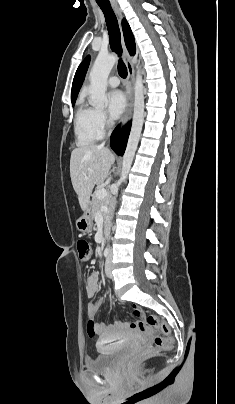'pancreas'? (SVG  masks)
<instances>
[{"label":"pancreas","mask_w":235,"mask_h":404,"mask_svg":"<svg viewBox=\"0 0 235 404\" xmlns=\"http://www.w3.org/2000/svg\"><path fill=\"white\" fill-rule=\"evenodd\" d=\"M102 213L104 219L108 218L109 215V200L108 198L105 199H98L96 193L93 195L92 203H91V214L94 217L98 212Z\"/></svg>","instance_id":"1"}]
</instances>
